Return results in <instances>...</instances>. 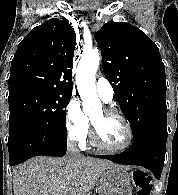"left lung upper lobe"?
<instances>
[{"label":"left lung upper lobe","mask_w":178,"mask_h":195,"mask_svg":"<svg viewBox=\"0 0 178 195\" xmlns=\"http://www.w3.org/2000/svg\"><path fill=\"white\" fill-rule=\"evenodd\" d=\"M95 38L105 77L131 124L133 143L167 134L165 66L158 47L125 22H107Z\"/></svg>","instance_id":"left-lung-upper-lobe-1"}]
</instances>
